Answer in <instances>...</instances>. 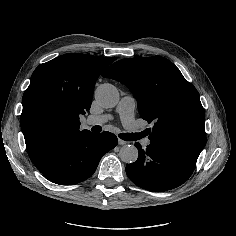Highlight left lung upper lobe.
<instances>
[{
    "instance_id": "5c2ea615",
    "label": "left lung upper lobe",
    "mask_w": 236,
    "mask_h": 236,
    "mask_svg": "<svg viewBox=\"0 0 236 236\" xmlns=\"http://www.w3.org/2000/svg\"><path fill=\"white\" fill-rule=\"evenodd\" d=\"M125 84L138 100L139 113L153 128L150 141L174 146L198 157L206 143L205 112L196 88L161 56L126 58L103 74Z\"/></svg>"
}]
</instances>
